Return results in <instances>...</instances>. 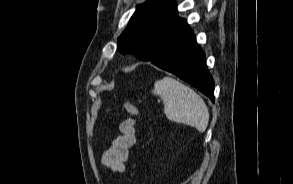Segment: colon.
<instances>
[{"label": "colon", "instance_id": "colon-1", "mask_svg": "<svg viewBox=\"0 0 293 184\" xmlns=\"http://www.w3.org/2000/svg\"><path fill=\"white\" fill-rule=\"evenodd\" d=\"M122 108L132 116H139V109L129 101H121Z\"/></svg>", "mask_w": 293, "mask_h": 184}]
</instances>
